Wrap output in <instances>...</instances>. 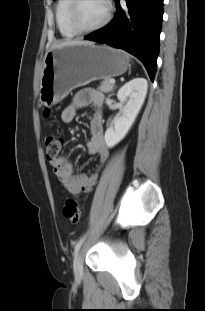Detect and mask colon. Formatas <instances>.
Instances as JSON below:
<instances>
[{"label":"colon","instance_id":"5ec220e1","mask_svg":"<svg viewBox=\"0 0 205 311\" xmlns=\"http://www.w3.org/2000/svg\"><path fill=\"white\" fill-rule=\"evenodd\" d=\"M64 141L61 137L49 135L45 138L46 158L52 161L59 157ZM63 215L71 224H78L81 211L80 203L76 198H69L63 206Z\"/></svg>","mask_w":205,"mask_h":311}]
</instances>
